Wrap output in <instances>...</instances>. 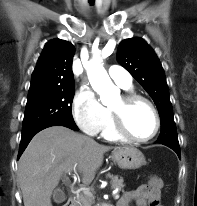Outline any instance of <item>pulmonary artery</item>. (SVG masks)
Segmentation results:
<instances>
[{
	"instance_id": "pulmonary-artery-1",
	"label": "pulmonary artery",
	"mask_w": 197,
	"mask_h": 206,
	"mask_svg": "<svg viewBox=\"0 0 197 206\" xmlns=\"http://www.w3.org/2000/svg\"><path fill=\"white\" fill-rule=\"evenodd\" d=\"M110 78L122 88H130L132 85L131 75L121 66L113 65L108 70Z\"/></svg>"
}]
</instances>
